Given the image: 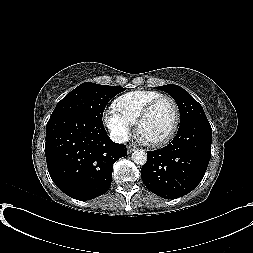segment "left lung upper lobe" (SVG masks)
<instances>
[{"label":"left lung upper lobe","instance_id":"obj_1","mask_svg":"<svg viewBox=\"0 0 253 253\" xmlns=\"http://www.w3.org/2000/svg\"><path fill=\"white\" fill-rule=\"evenodd\" d=\"M161 89L176 101L180 111V124L194 118H207L202 106L182 87L168 84Z\"/></svg>","mask_w":253,"mask_h":253}]
</instances>
